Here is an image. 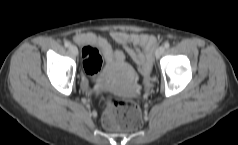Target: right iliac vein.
I'll return each instance as SVG.
<instances>
[{
  "mask_svg": "<svg viewBox=\"0 0 238 145\" xmlns=\"http://www.w3.org/2000/svg\"><path fill=\"white\" fill-rule=\"evenodd\" d=\"M69 50H70V52H71L74 56H77V55H78V49H77V47H76L75 45H71V46L69 47Z\"/></svg>",
  "mask_w": 238,
  "mask_h": 145,
  "instance_id": "1",
  "label": "right iliac vein"
}]
</instances>
